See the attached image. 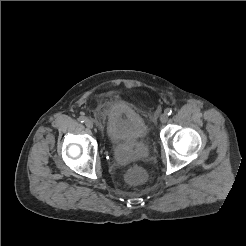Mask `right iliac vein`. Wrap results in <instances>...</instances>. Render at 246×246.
Returning a JSON list of instances; mask_svg holds the SVG:
<instances>
[{"instance_id": "1", "label": "right iliac vein", "mask_w": 246, "mask_h": 246, "mask_svg": "<svg viewBox=\"0 0 246 246\" xmlns=\"http://www.w3.org/2000/svg\"><path fill=\"white\" fill-rule=\"evenodd\" d=\"M85 125H86V127H88V128H93V126H94V123H93V121L92 120H90V119H87L86 121H85Z\"/></svg>"}]
</instances>
